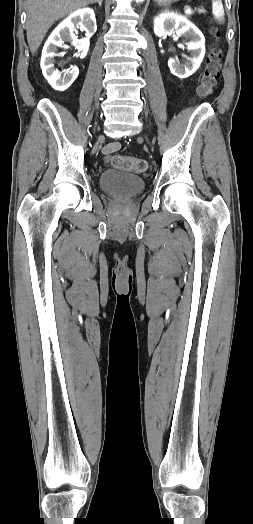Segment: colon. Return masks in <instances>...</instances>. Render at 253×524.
Masks as SVG:
<instances>
[{"instance_id":"obj_1","label":"colon","mask_w":253,"mask_h":524,"mask_svg":"<svg viewBox=\"0 0 253 524\" xmlns=\"http://www.w3.org/2000/svg\"><path fill=\"white\" fill-rule=\"evenodd\" d=\"M213 33L214 36L218 38L219 34L217 30H214ZM221 64L222 51L219 45L216 43L206 60L205 69L200 79L199 86L197 88V93L200 96L206 97L212 93L219 78ZM107 161L109 164H111L113 167L117 169L132 171L136 173H143L147 170L148 167L146 160L139 157L109 155L107 156Z\"/></svg>"}]
</instances>
